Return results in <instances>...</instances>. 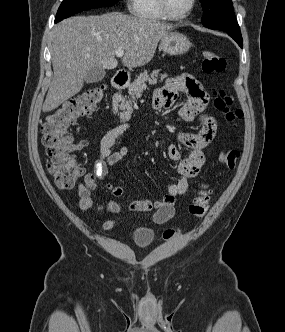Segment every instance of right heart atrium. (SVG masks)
<instances>
[{
    "instance_id": "1",
    "label": "right heart atrium",
    "mask_w": 285,
    "mask_h": 332,
    "mask_svg": "<svg viewBox=\"0 0 285 332\" xmlns=\"http://www.w3.org/2000/svg\"><path fill=\"white\" fill-rule=\"evenodd\" d=\"M128 5H131V0H128Z\"/></svg>"
}]
</instances>
